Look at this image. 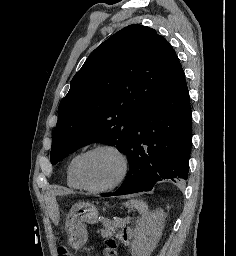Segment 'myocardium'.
Masks as SVG:
<instances>
[{
    "mask_svg": "<svg viewBox=\"0 0 236 256\" xmlns=\"http://www.w3.org/2000/svg\"><path fill=\"white\" fill-rule=\"evenodd\" d=\"M103 150H109V151H112L115 154H117V156L120 159V163H121L120 174L117 177V179L109 185H106L103 187H90L86 184V182L83 178V174H82V167H83L84 160L86 159V157L88 155L93 154L98 151H103ZM129 168H130V164H129L128 156H127L126 152L120 146L113 144V143H103V144L96 145L82 153V155L78 159V162L76 165V177H77V180H78L80 186L84 190L91 192V193H104V192L113 190L116 187L120 186L125 181L128 173H129Z\"/></svg>",
    "mask_w": 236,
    "mask_h": 256,
    "instance_id": "obj_1",
    "label": "myocardium"
}]
</instances>
